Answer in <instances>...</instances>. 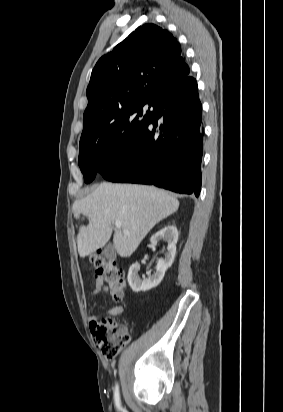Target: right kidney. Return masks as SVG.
<instances>
[{
    "label": "right kidney",
    "instance_id": "right-kidney-1",
    "mask_svg": "<svg viewBox=\"0 0 283 412\" xmlns=\"http://www.w3.org/2000/svg\"><path fill=\"white\" fill-rule=\"evenodd\" d=\"M161 240L168 243L167 252L164 258L159 259L156 270L149 274L147 278H140L138 271L140 265L132 264L128 271V283L134 292L148 291L160 284L163 280L166 270L172 265L176 254V243L178 240V231L174 226H167L158 231L151 237V243L157 245Z\"/></svg>",
    "mask_w": 283,
    "mask_h": 412
}]
</instances>
